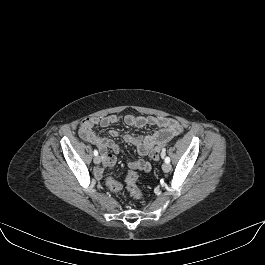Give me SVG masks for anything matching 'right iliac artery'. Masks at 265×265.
<instances>
[{
  "label": "right iliac artery",
  "instance_id": "82829eb1",
  "mask_svg": "<svg viewBox=\"0 0 265 265\" xmlns=\"http://www.w3.org/2000/svg\"><path fill=\"white\" fill-rule=\"evenodd\" d=\"M94 155L97 156L98 155V151L97 150H94Z\"/></svg>",
  "mask_w": 265,
  "mask_h": 265
}]
</instances>
